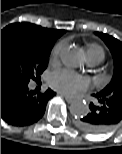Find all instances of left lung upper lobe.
Segmentation results:
<instances>
[{
    "instance_id": "left-lung-upper-lobe-1",
    "label": "left lung upper lobe",
    "mask_w": 122,
    "mask_h": 154,
    "mask_svg": "<svg viewBox=\"0 0 122 154\" xmlns=\"http://www.w3.org/2000/svg\"><path fill=\"white\" fill-rule=\"evenodd\" d=\"M96 34L101 37L110 48L114 59L112 80L101 92L107 96L113 95L122 99V43L110 35L99 32Z\"/></svg>"
}]
</instances>
